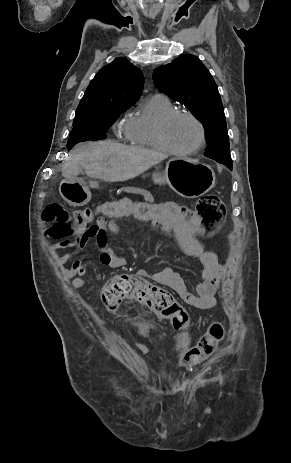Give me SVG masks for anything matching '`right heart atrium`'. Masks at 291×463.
<instances>
[{"label": "right heart atrium", "instance_id": "d8ad5b80", "mask_svg": "<svg viewBox=\"0 0 291 463\" xmlns=\"http://www.w3.org/2000/svg\"><path fill=\"white\" fill-rule=\"evenodd\" d=\"M117 134L121 139H128V122H119L116 125Z\"/></svg>", "mask_w": 291, "mask_h": 463}]
</instances>
